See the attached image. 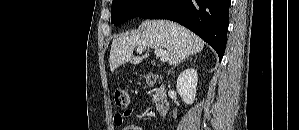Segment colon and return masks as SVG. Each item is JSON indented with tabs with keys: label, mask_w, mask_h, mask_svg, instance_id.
<instances>
[{
	"label": "colon",
	"mask_w": 299,
	"mask_h": 130,
	"mask_svg": "<svg viewBox=\"0 0 299 130\" xmlns=\"http://www.w3.org/2000/svg\"><path fill=\"white\" fill-rule=\"evenodd\" d=\"M146 83L150 86L158 81V76L155 74H148L145 77ZM115 103L119 108L126 109L130 105V96L124 89H117L114 93Z\"/></svg>",
	"instance_id": "1"
}]
</instances>
